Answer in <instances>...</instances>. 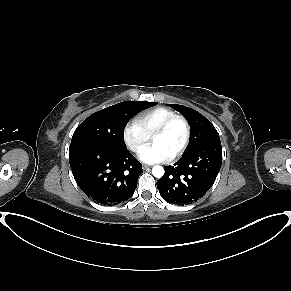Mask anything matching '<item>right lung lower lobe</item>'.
I'll use <instances>...</instances> for the list:
<instances>
[{
  "label": "right lung lower lobe",
  "mask_w": 291,
  "mask_h": 291,
  "mask_svg": "<svg viewBox=\"0 0 291 291\" xmlns=\"http://www.w3.org/2000/svg\"><path fill=\"white\" fill-rule=\"evenodd\" d=\"M69 163L80 189L98 204L127 201L143 172L127 149L85 146L69 150Z\"/></svg>",
  "instance_id": "98d812e1"
}]
</instances>
